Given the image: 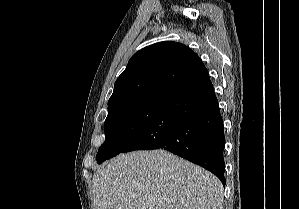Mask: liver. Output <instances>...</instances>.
<instances>
[{
    "instance_id": "liver-1",
    "label": "liver",
    "mask_w": 299,
    "mask_h": 209,
    "mask_svg": "<svg viewBox=\"0 0 299 209\" xmlns=\"http://www.w3.org/2000/svg\"><path fill=\"white\" fill-rule=\"evenodd\" d=\"M94 209H222L209 171L166 150L119 154L93 176Z\"/></svg>"
}]
</instances>
